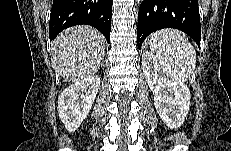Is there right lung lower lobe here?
Returning <instances> with one entry per match:
<instances>
[{
	"label": "right lung lower lobe",
	"mask_w": 231,
	"mask_h": 151,
	"mask_svg": "<svg viewBox=\"0 0 231 151\" xmlns=\"http://www.w3.org/2000/svg\"><path fill=\"white\" fill-rule=\"evenodd\" d=\"M112 0H54L50 22V40L64 29L87 24L98 29L110 42Z\"/></svg>",
	"instance_id": "obj_1"
}]
</instances>
